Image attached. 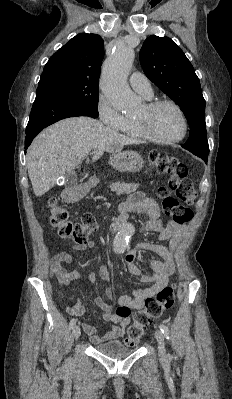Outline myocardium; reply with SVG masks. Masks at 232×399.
<instances>
[{
  "instance_id": "myocardium-1",
  "label": "myocardium",
  "mask_w": 232,
  "mask_h": 399,
  "mask_svg": "<svg viewBox=\"0 0 232 399\" xmlns=\"http://www.w3.org/2000/svg\"><path fill=\"white\" fill-rule=\"evenodd\" d=\"M162 105H170L178 111V113L182 119V123H183V131L179 137L174 138V139H161V138L156 137L154 134H152L150 132V130L148 129V127L146 125L145 120L142 118H134L136 126H137L139 132L141 133V135L148 141L158 143V144L178 143L186 137L187 132H188V122H187V118H186V115H185L183 109L175 102L169 101V100L148 101L144 104V108H145L146 113L149 114L152 111H154L156 108H158L159 106H162Z\"/></svg>"
}]
</instances>
